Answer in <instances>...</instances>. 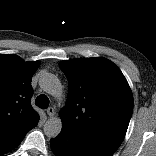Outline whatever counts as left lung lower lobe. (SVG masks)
<instances>
[{
	"label": "left lung lower lobe",
	"instance_id": "obj_1",
	"mask_svg": "<svg viewBox=\"0 0 156 156\" xmlns=\"http://www.w3.org/2000/svg\"><path fill=\"white\" fill-rule=\"evenodd\" d=\"M50 144L56 156H112L115 152L104 145L76 137L64 130L51 139Z\"/></svg>",
	"mask_w": 156,
	"mask_h": 156
}]
</instances>
